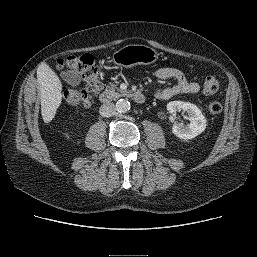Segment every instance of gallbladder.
Segmentation results:
<instances>
[{
    "mask_svg": "<svg viewBox=\"0 0 257 257\" xmlns=\"http://www.w3.org/2000/svg\"><path fill=\"white\" fill-rule=\"evenodd\" d=\"M62 78L66 83L72 86H77L81 82V77L74 70H67L62 72Z\"/></svg>",
    "mask_w": 257,
    "mask_h": 257,
    "instance_id": "bac80fb5",
    "label": "gallbladder"
}]
</instances>
